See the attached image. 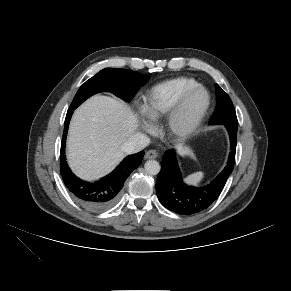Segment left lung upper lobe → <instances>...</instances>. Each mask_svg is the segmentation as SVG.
<instances>
[{
	"label": "left lung upper lobe",
	"instance_id": "1",
	"mask_svg": "<svg viewBox=\"0 0 291 291\" xmlns=\"http://www.w3.org/2000/svg\"><path fill=\"white\" fill-rule=\"evenodd\" d=\"M217 104L210 119V123H219L224 120L238 123L236 112L230 97L216 84Z\"/></svg>",
	"mask_w": 291,
	"mask_h": 291
}]
</instances>
